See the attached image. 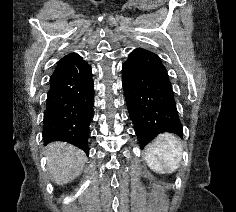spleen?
<instances>
[{
	"instance_id": "spleen-1",
	"label": "spleen",
	"mask_w": 236,
	"mask_h": 212,
	"mask_svg": "<svg viewBox=\"0 0 236 212\" xmlns=\"http://www.w3.org/2000/svg\"><path fill=\"white\" fill-rule=\"evenodd\" d=\"M145 151L149 168L161 174L174 172L182 160V145L170 133L160 134Z\"/></svg>"
}]
</instances>
